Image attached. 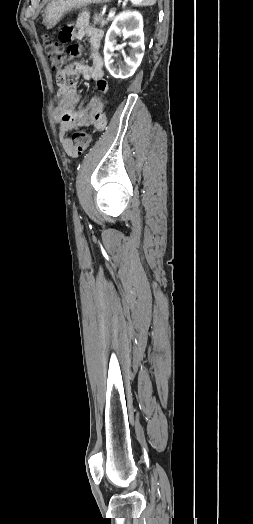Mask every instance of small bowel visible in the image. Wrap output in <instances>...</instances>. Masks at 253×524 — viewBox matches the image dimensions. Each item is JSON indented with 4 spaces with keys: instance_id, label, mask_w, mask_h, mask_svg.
Returning <instances> with one entry per match:
<instances>
[{
    "instance_id": "c3829d8e",
    "label": "small bowel",
    "mask_w": 253,
    "mask_h": 524,
    "mask_svg": "<svg viewBox=\"0 0 253 524\" xmlns=\"http://www.w3.org/2000/svg\"><path fill=\"white\" fill-rule=\"evenodd\" d=\"M61 44H66L65 55L79 58L83 54L78 47V38L87 37L91 63L82 61L65 65L57 72L59 91L58 105L55 109V118L58 122V136L60 142L69 155H72V143L69 133L77 128L92 126L95 130L105 127L106 119L103 114V104L112 99L110 95V82L104 78L103 59L100 53L103 31L90 24L86 14L79 16L73 24H62L58 32ZM79 78L93 80L97 84L99 96L81 98L77 92Z\"/></svg>"
}]
</instances>
